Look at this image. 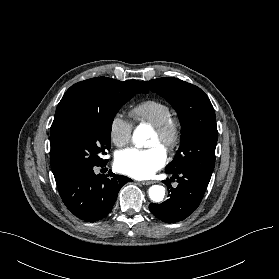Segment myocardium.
I'll return each instance as SVG.
<instances>
[{
    "label": "myocardium",
    "instance_id": "f54148a6",
    "mask_svg": "<svg viewBox=\"0 0 279 279\" xmlns=\"http://www.w3.org/2000/svg\"><path fill=\"white\" fill-rule=\"evenodd\" d=\"M154 132L164 143L167 152H173L181 140V126L179 120L174 116H169L160 124L154 126Z\"/></svg>",
    "mask_w": 279,
    "mask_h": 279
}]
</instances>
